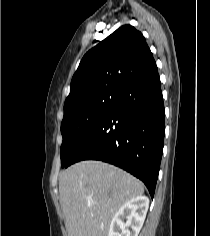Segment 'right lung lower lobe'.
<instances>
[{
  "mask_svg": "<svg viewBox=\"0 0 210 236\" xmlns=\"http://www.w3.org/2000/svg\"><path fill=\"white\" fill-rule=\"evenodd\" d=\"M165 111L157 68L131 82L89 132L65 168L82 160L118 166L144 182L153 198L163 153Z\"/></svg>",
  "mask_w": 210,
  "mask_h": 236,
  "instance_id": "right-lung-lower-lobe-1",
  "label": "right lung lower lobe"
}]
</instances>
